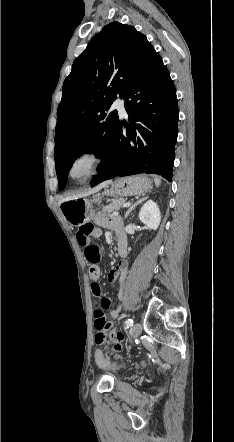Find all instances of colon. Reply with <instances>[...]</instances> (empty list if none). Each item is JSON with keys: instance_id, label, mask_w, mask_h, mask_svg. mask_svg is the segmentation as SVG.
Segmentation results:
<instances>
[{"instance_id": "5ec220e1", "label": "colon", "mask_w": 234, "mask_h": 442, "mask_svg": "<svg viewBox=\"0 0 234 442\" xmlns=\"http://www.w3.org/2000/svg\"><path fill=\"white\" fill-rule=\"evenodd\" d=\"M94 233H95V227L92 224H85L81 226L79 231L77 232V240L79 244L85 248L86 259L90 263H92V266L90 267L89 270L90 277L92 280L97 281L100 278V268L97 266V263L100 261L101 253L97 245L90 243V238L93 237ZM92 294L96 304L94 316L95 314H105V311L110 306V302L108 298L101 296V289L97 283H94ZM94 357H95L94 361L95 366L100 367L101 370H106L107 368L113 370L115 368V365L113 363L107 365L108 361L103 357L102 351L99 349V347H96Z\"/></svg>"}]
</instances>
